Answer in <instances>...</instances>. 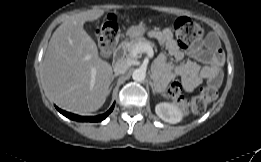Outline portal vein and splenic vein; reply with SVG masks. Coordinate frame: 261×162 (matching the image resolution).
Segmentation results:
<instances>
[{
  "mask_svg": "<svg viewBox=\"0 0 261 162\" xmlns=\"http://www.w3.org/2000/svg\"><path fill=\"white\" fill-rule=\"evenodd\" d=\"M140 53H147L149 58H152L154 55L153 49L149 44H138L130 52L132 56H136Z\"/></svg>",
  "mask_w": 261,
  "mask_h": 162,
  "instance_id": "obj_1",
  "label": "portal vein and splenic vein"
}]
</instances>
